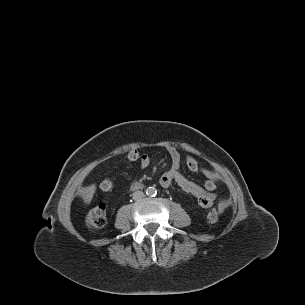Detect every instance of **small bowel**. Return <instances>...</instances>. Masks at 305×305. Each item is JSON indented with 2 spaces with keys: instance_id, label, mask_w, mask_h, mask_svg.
<instances>
[{
  "instance_id": "obj_1",
  "label": "small bowel",
  "mask_w": 305,
  "mask_h": 305,
  "mask_svg": "<svg viewBox=\"0 0 305 305\" xmlns=\"http://www.w3.org/2000/svg\"><path fill=\"white\" fill-rule=\"evenodd\" d=\"M167 152L171 158V168L160 177V185L163 188H168L171 184L175 183L183 191L194 196L201 207H211L216 199L214 191L220 183L219 175L210 168L201 167L193 156L187 155L185 158L187 168L192 172L201 171L207 177L204 185L201 186L187 179L181 173V154L179 150L175 146H168ZM139 163L142 168H146L150 164V158L147 155H142ZM220 204L223 206L225 201H221Z\"/></svg>"
}]
</instances>
